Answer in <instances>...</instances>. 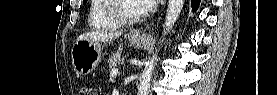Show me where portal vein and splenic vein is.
Segmentation results:
<instances>
[{
  "label": "portal vein and splenic vein",
  "instance_id": "portal-vein-and-splenic-vein-1",
  "mask_svg": "<svg viewBox=\"0 0 277 95\" xmlns=\"http://www.w3.org/2000/svg\"><path fill=\"white\" fill-rule=\"evenodd\" d=\"M117 74H118V69H113V70L111 71V76L116 77Z\"/></svg>",
  "mask_w": 277,
  "mask_h": 95
}]
</instances>
